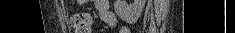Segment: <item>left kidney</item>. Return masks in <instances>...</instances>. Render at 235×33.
I'll use <instances>...</instances> for the list:
<instances>
[{
  "mask_svg": "<svg viewBox=\"0 0 235 33\" xmlns=\"http://www.w3.org/2000/svg\"><path fill=\"white\" fill-rule=\"evenodd\" d=\"M146 0H134L132 4L126 3V0H115V13L125 22L133 23L140 17Z\"/></svg>",
  "mask_w": 235,
  "mask_h": 33,
  "instance_id": "1",
  "label": "left kidney"
}]
</instances>
